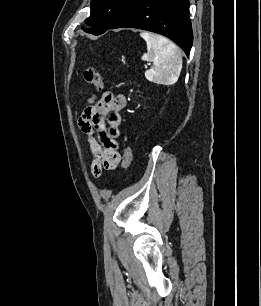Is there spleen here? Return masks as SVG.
Returning a JSON list of instances; mask_svg holds the SVG:
<instances>
[{
    "instance_id": "spleen-1",
    "label": "spleen",
    "mask_w": 261,
    "mask_h": 306,
    "mask_svg": "<svg viewBox=\"0 0 261 306\" xmlns=\"http://www.w3.org/2000/svg\"><path fill=\"white\" fill-rule=\"evenodd\" d=\"M146 41L147 53L142 60L153 62L154 66L145 72V77L154 83L173 85L178 81L182 69V54L167 38L149 32H141Z\"/></svg>"
}]
</instances>
